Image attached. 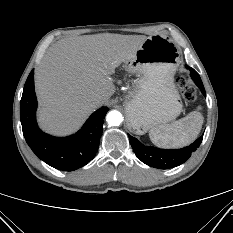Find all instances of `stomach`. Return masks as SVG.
Instances as JSON below:
<instances>
[{
  "label": "stomach",
  "mask_w": 233,
  "mask_h": 233,
  "mask_svg": "<svg viewBox=\"0 0 233 233\" xmlns=\"http://www.w3.org/2000/svg\"><path fill=\"white\" fill-rule=\"evenodd\" d=\"M179 62V48L165 35L148 37L126 61L128 70L137 76L124 101L130 131L142 135L180 115L183 105L174 84Z\"/></svg>",
  "instance_id": "obj_1"
}]
</instances>
